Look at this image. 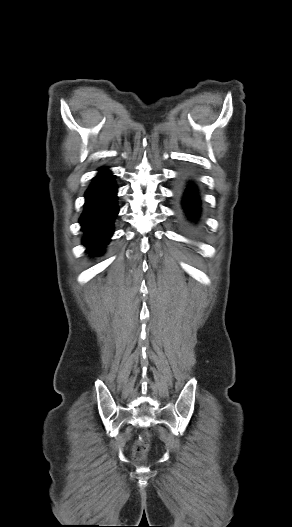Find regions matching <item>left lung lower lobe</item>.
Segmentation results:
<instances>
[{"label": "left lung lower lobe", "instance_id": "obj_1", "mask_svg": "<svg viewBox=\"0 0 292 527\" xmlns=\"http://www.w3.org/2000/svg\"><path fill=\"white\" fill-rule=\"evenodd\" d=\"M183 205L185 208L186 214L196 220L199 210V201L197 199L196 190L194 186L188 185L183 196Z\"/></svg>", "mask_w": 292, "mask_h": 527}]
</instances>
